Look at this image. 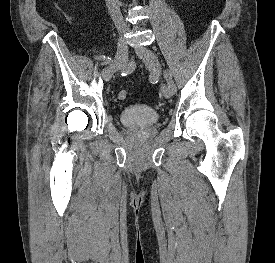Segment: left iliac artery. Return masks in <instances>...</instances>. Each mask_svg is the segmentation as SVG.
<instances>
[{"label": "left iliac artery", "mask_w": 275, "mask_h": 263, "mask_svg": "<svg viewBox=\"0 0 275 263\" xmlns=\"http://www.w3.org/2000/svg\"><path fill=\"white\" fill-rule=\"evenodd\" d=\"M164 77L167 80L168 85L172 88V90L175 93L177 89H176L175 83L172 80V74H171V72L169 70H165L164 71Z\"/></svg>", "instance_id": "44dca946"}]
</instances>
